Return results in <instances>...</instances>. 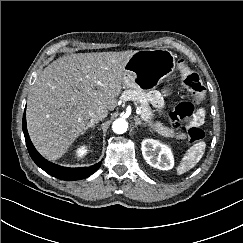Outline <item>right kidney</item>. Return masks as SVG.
<instances>
[{
  "mask_svg": "<svg viewBox=\"0 0 243 243\" xmlns=\"http://www.w3.org/2000/svg\"><path fill=\"white\" fill-rule=\"evenodd\" d=\"M87 153V148L86 146H81L77 149L76 154L78 157H83Z\"/></svg>",
  "mask_w": 243,
  "mask_h": 243,
  "instance_id": "right-kidney-1",
  "label": "right kidney"
}]
</instances>
